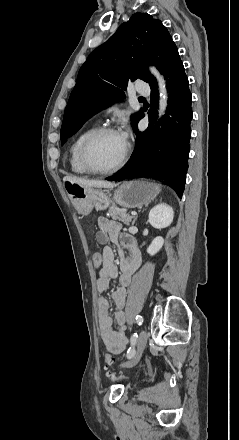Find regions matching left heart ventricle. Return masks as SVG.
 <instances>
[{
    "label": "left heart ventricle",
    "mask_w": 239,
    "mask_h": 440,
    "mask_svg": "<svg viewBox=\"0 0 239 440\" xmlns=\"http://www.w3.org/2000/svg\"><path fill=\"white\" fill-rule=\"evenodd\" d=\"M126 142L119 133H109L99 137L90 147L89 158L98 169L114 168L122 158Z\"/></svg>",
    "instance_id": "1"
}]
</instances>
